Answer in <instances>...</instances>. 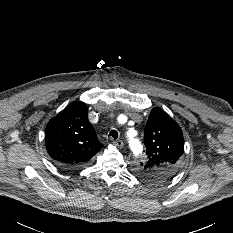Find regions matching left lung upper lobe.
I'll return each mask as SVG.
<instances>
[{
	"mask_svg": "<svg viewBox=\"0 0 233 233\" xmlns=\"http://www.w3.org/2000/svg\"><path fill=\"white\" fill-rule=\"evenodd\" d=\"M147 161L139 175L152 182L165 181L177 171L184 153L183 133L176 121L160 108L152 109L144 131Z\"/></svg>",
	"mask_w": 233,
	"mask_h": 233,
	"instance_id": "5c2ea615",
	"label": "left lung upper lobe"
}]
</instances>
